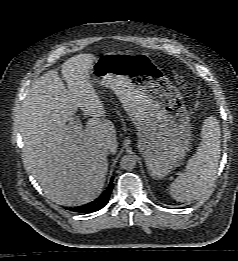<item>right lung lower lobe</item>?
<instances>
[{
  "mask_svg": "<svg viewBox=\"0 0 238 261\" xmlns=\"http://www.w3.org/2000/svg\"><path fill=\"white\" fill-rule=\"evenodd\" d=\"M112 189H113V182L111 179L107 189L96 200L86 205L72 209V211L79 212V213H91L100 210L108 203Z\"/></svg>",
  "mask_w": 238,
  "mask_h": 261,
  "instance_id": "1",
  "label": "right lung lower lobe"
}]
</instances>
